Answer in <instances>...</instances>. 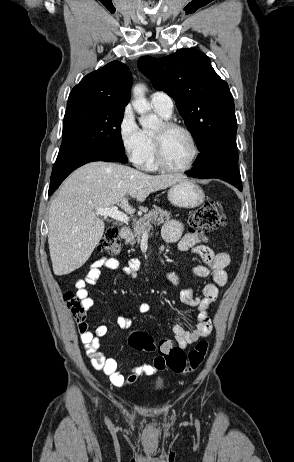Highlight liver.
Returning <instances> with one entry per match:
<instances>
[{"label":"liver","mask_w":294,"mask_h":462,"mask_svg":"<svg viewBox=\"0 0 294 462\" xmlns=\"http://www.w3.org/2000/svg\"><path fill=\"white\" fill-rule=\"evenodd\" d=\"M186 177L181 174L149 175L128 166L91 162L75 170L52 201L48 218V243L53 272L67 275L80 268L99 244L105 224L98 208L120 204L132 214L129 194L144 202L149 194Z\"/></svg>","instance_id":"6515ba94"}]
</instances>
